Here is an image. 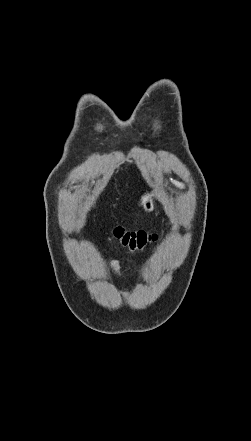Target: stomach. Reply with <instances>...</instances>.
Masks as SVG:
<instances>
[{
	"label": "stomach",
	"instance_id": "0dacf381",
	"mask_svg": "<svg viewBox=\"0 0 251 441\" xmlns=\"http://www.w3.org/2000/svg\"><path fill=\"white\" fill-rule=\"evenodd\" d=\"M154 199L152 197L147 198L144 202H143V209L147 212H151L154 210Z\"/></svg>",
	"mask_w": 251,
	"mask_h": 441
}]
</instances>
